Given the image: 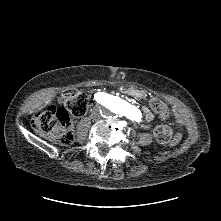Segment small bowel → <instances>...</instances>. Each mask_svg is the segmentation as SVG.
<instances>
[{
    "label": "small bowel",
    "mask_w": 221,
    "mask_h": 221,
    "mask_svg": "<svg viewBox=\"0 0 221 221\" xmlns=\"http://www.w3.org/2000/svg\"><path fill=\"white\" fill-rule=\"evenodd\" d=\"M98 94H103V93H93V94H91L90 100H92V101L96 100L95 96H97ZM130 95H131L132 102L137 104L138 107H140V109H141V111L143 113L144 119L147 122H152L153 121V116L151 115V113L145 107L140 105L138 97L134 93H130Z\"/></svg>",
    "instance_id": "obj_1"
}]
</instances>
